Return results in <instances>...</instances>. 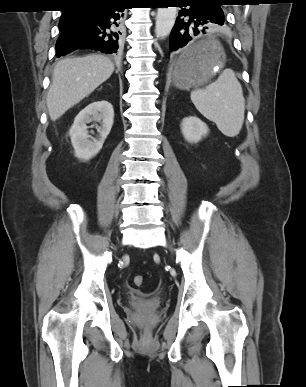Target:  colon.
I'll return each instance as SVG.
<instances>
[{"label":"colon","mask_w":306,"mask_h":387,"mask_svg":"<svg viewBox=\"0 0 306 387\" xmlns=\"http://www.w3.org/2000/svg\"><path fill=\"white\" fill-rule=\"evenodd\" d=\"M133 283L135 286L137 287H142L145 283V279L143 276L141 275H137L133 278Z\"/></svg>","instance_id":"1"}]
</instances>
